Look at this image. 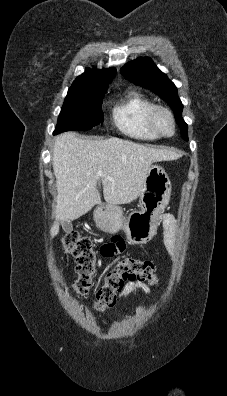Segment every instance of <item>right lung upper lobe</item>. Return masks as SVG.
I'll use <instances>...</instances> for the list:
<instances>
[{
  "instance_id": "cb5924a9",
  "label": "right lung upper lobe",
  "mask_w": 227,
  "mask_h": 396,
  "mask_svg": "<svg viewBox=\"0 0 227 396\" xmlns=\"http://www.w3.org/2000/svg\"><path fill=\"white\" fill-rule=\"evenodd\" d=\"M116 74V69H87L73 82L72 86H88L107 90L108 84Z\"/></svg>"
}]
</instances>
